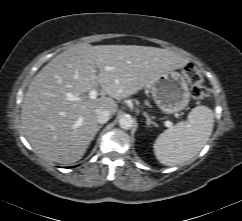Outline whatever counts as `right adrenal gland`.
<instances>
[{"label":"right adrenal gland","mask_w":242,"mask_h":221,"mask_svg":"<svg viewBox=\"0 0 242 221\" xmlns=\"http://www.w3.org/2000/svg\"><path fill=\"white\" fill-rule=\"evenodd\" d=\"M101 128H102V125L98 126V129H97V131H99V130H100Z\"/></svg>","instance_id":"obj_1"}]
</instances>
